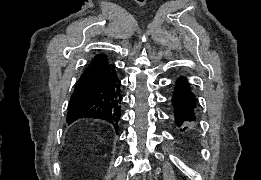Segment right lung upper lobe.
Wrapping results in <instances>:
<instances>
[{"label":"right lung upper lobe","instance_id":"cb5924a9","mask_svg":"<svg viewBox=\"0 0 261 180\" xmlns=\"http://www.w3.org/2000/svg\"><path fill=\"white\" fill-rule=\"evenodd\" d=\"M105 61H107L106 56L103 55V54H100V55L95 56L88 66H91V65H94V64H97V63H102V62H105Z\"/></svg>","mask_w":261,"mask_h":180}]
</instances>
